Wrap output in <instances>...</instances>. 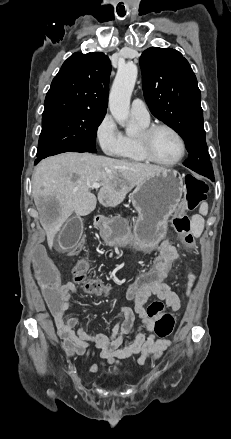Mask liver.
Masks as SVG:
<instances>
[{"label": "liver", "instance_id": "1", "mask_svg": "<svg viewBox=\"0 0 231 439\" xmlns=\"http://www.w3.org/2000/svg\"><path fill=\"white\" fill-rule=\"evenodd\" d=\"M164 170L90 153L68 152L42 160L32 177V193L49 248L73 213L90 214L97 198L103 206L115 207L135 186ZM94 183L101 184L97 198L91 192Z\"/></svg>", "mask_w": 231, "mask_h": 439}]
</instances>
